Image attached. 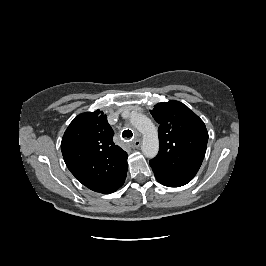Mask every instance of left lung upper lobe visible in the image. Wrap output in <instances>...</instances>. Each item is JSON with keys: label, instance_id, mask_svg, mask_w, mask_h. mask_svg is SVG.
<instances>
[{"label": "left lung upper lobe", "instance_id": "left-lung-upper-lobe-1", "mask_svg": "<svg viewBox=\"0 0 266 266\" xmlns=\"http://www.w3.org/2000/svg\"><path fill=\"white\" fill-rule=\"evenodd\" d=\"M157 123L159 153L150 161L158 182L179 187L190 182L205 156L208 132L204 122L179 101L158 103L150 111Z\"/></svg>", "mask_w": 266, "mask_h": 266}]
</instances>
